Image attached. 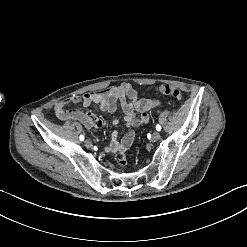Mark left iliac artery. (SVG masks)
I'll return each instance as SVG.
<instances>
[{"label":"left iliac artery","mask_w":247,"mask_h":247,"mask_svg":"<svg viewBox=\"0 0 247 247\" xmlns=\"http://www.w3.org/2000/svg\"><path fill=\"white\" fill-rule=\"evenodd\" d=\"M156 130L160 131L161 130V126L159 124L156 125Z\"/></svg>","instance_id":"obj_1"}]
</instances>
